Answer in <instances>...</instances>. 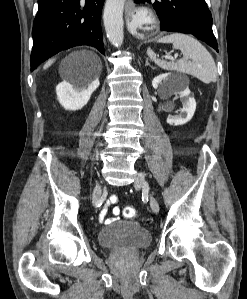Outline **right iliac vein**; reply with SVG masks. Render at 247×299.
Here are the masks:
<instances>
[{"mask_svg": "<svg viewBox=\"0 0 247 299\" xmlns=\"http://www.w3.org/2000/svg\"><path fill=\"white\" fill-rule=\"evenodd\" d=\"M100 195H101V185L97 184L93 191V197H92L93 204H97V202L99 201Z\"/></svg>", "mask_w": 247, "mask_h": 299, "instance_id": "obj_1", "label": "right iliac vein"}]
</instances>
